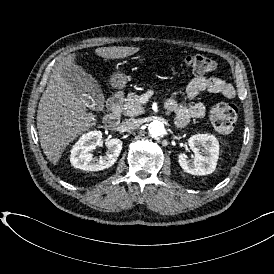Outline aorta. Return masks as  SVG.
I'll return each instance as SVG.
<instances>
[{
    "mask_svg": "<svg viewBox=\"0 0 274 274\" xmlns=\"http://www.w3.org/2000/svg\"><path fill=\"white\" fill-rule=\"evenodd\" d=\"M148 131H149V135L152 138H157L162 136L165 133V127L163 122L159 120H153L148 125Z\"/></svg>",
    "mask_w": 274,
    "mask_h": 274,
    "instance_id": "762f6f07",
    "label": "aorta"
}]
</instances>
